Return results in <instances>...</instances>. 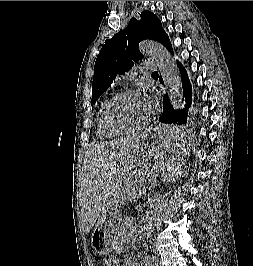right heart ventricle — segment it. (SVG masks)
I'll return each mask as SVG.
<instances>
[{"label":"right heart ventricle","mask_w":253,"mask_h":266,"mask_svg":"<svg viewBox=\"0 0 253 266\" xmlns=\"http://www.w3.org/2000/svg\"><path fill=\"white\" fill-rule=\"evenodd\" d=\"M116 94V91L111 92L100 104V107L98 109L97 112V116H96V135L99 139H110L113 138L115 136H117L118 134H114L110 131H108L107 129H105V127L103 126L102 123V113H103V109L105 107V105L107 104V102Z\"/></svg>","instance_id":"1"}]
</instances>
